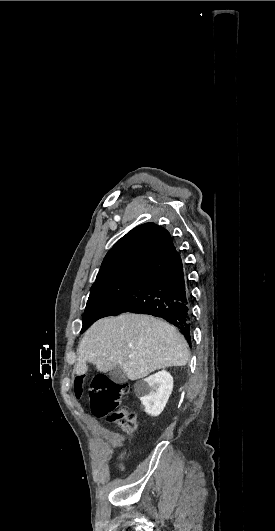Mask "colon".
Here are the masks:
<instances>
[{
  "instance_id": "5ec220e1",
  "label": "colon",
  "mask_w": 275,
  "mask_h": 531,
  "mask_svg": "<svg viewBox=\"0 0 275 531\" xmlns=\"http://www.w3.org/2000/svg\"><path fill=\"white\" fill-rule=\"evenodd\" d=\"M68 391L75 400L82 399L83 393L88 391L90 411L94 416L105 417L109 423L118 425L126 435L134 431L137 413L120 407L121 398L130 392L128 383L98 373L88 387V376L79 375L77 381L68 382Z\"/></svg>"
}]
</instances>
